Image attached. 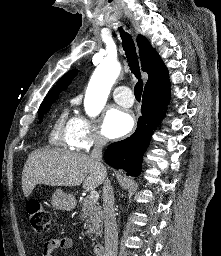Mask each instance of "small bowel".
<instances>
[{"mask_svg": "<svg viewBox=\"0 0 221 256\" xmlns=\"http://www.w3.org/2000/svg\"><path fill=\"white\" fill-rule=\"evenodd\" d=\"M74 245L73 239L69 237L54 238L45 242L41 256H54L56 250H68Z\"/></svg>", "mask_w": 221, "mask_h": 256, "instance_id": "small-bowel-1", "label": "small bowel"}]
</instances>
